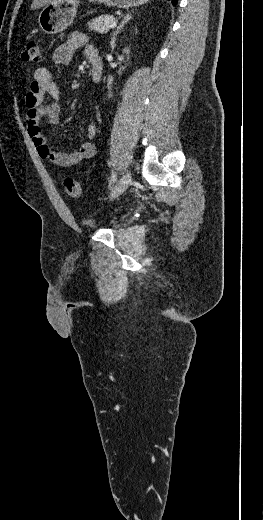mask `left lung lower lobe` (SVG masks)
Segmentation results:
<instances>
[{"mask_svg": "<svg viewBox=\"0 0 263 520\" xmlns=\"http://www.w3.org/2000/svg\"><path fill=\"white\" fill-rule=\"evenodd\" d=\"M172 1V4L175 5L177 0H171Z\"/></svg>", "mask_w": 263, "mask_h": 520, "instance_id": "0a47b994", "label": "left lung lower lobe"}]
</instances>
